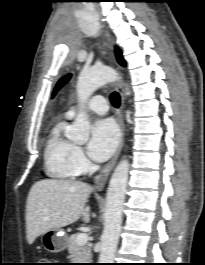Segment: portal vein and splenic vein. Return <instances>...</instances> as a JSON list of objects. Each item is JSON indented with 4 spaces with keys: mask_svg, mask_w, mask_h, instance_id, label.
I'll return each mask as SVG.
<instances>
[{
    "mask_svg": "<svg viewBox=\"0 0 205 265\" xmlns=\"http://www.w3.org/2000/svg\"><path fill=\"white\" fill-rule=\"evenodd\" d=\"M88 241V235L86 233H80L78 234L76 238V242L78 245L86 244Z\"/></svg>",
    "mask_w": 205,
    "mask_h": 265,
    "instance_id": "18ae733b",
    "label": "portal vein and splenic vein"
}]
</instances>
